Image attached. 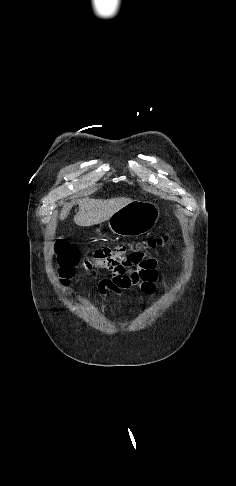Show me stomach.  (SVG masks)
Returning <instances> with one entry per match:
<instances>
[{"instance_id": "stomach-1", "label": "stomach", "mask_w": 236, "mask_h": 486, "mask_svg": "<svg viewBox=\"0 0 236 486\" xmlns=\"http://www.w3.org/2000/svg\"><path fill=\"white\" fill-rule=\"evenodd\" d=\"M160 217L159 207L150 201H132L108 219L110 230L124 237L148 233ZM99 231V229L97 230Z\"/></svg>"}]
</instances>
